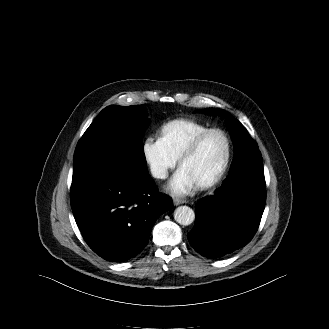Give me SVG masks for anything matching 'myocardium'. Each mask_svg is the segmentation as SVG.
Segmentation results:
<instances>
[{
  "label": "myocardium",
  "instance_id": "1",
  "mask_svg": "<svg viewBox=\"0 0 329 329\" xmlns=\"http://www.w3.org/2000/svg\"><path fill=\"white\" fill-rule=\"evenodd\" d=\"M213 133H218L220 135L223 136L225 143H226V152H225V157L223 160V163L221 165V167L219 168V170L216 172V174L211 177L210 179L198 184V187L200 189H207L210 188L214 185H216L225 175V173L228 170V167L230 165L231 162V158H232V142L231 139L229 137V135L222 129L219 128H209L205 131H203L202 133L198 134L189 144L188 146L183 150V152L181 153V155L178 158V164L179 167H181L182 163L190 158L191 156H193L197 149L199 148L201 142L203 141V139L205 137H207L210 134Z\"/></svg>",
  "mask_w": 329,
  "mask_h": 329
}]
</instances>
